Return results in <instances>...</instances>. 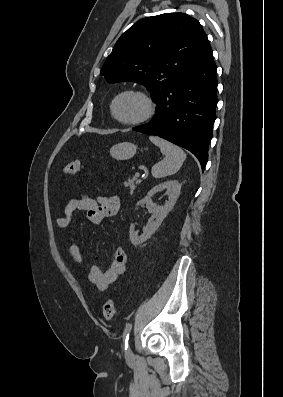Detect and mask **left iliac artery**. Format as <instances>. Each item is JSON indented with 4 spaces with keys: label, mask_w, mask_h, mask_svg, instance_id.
<instances>
[{
    "label": "left iliac artery",
    "mask_w": 283,
    "mask_h": 397,
    "mask_svg": "<svg viewBox=\"0 0 283 397\" xmlns=\"http://www.w3.org/2000/svg\"><path fill=\"white\" fill-rule=\"evenodd\" d=\"M132 328V324H128L123 332V341H124V349L127 350L128 348V340H129V334Z\"/></svg>",
    "instance_id": "left-iliac-artery-1"
}]
</instances>
